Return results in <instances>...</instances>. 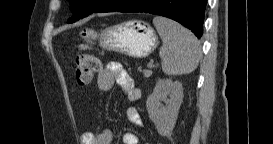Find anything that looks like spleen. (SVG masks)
Returning a JSON list of instances; mask_svg holds the SVG:
<instances>
[{"instance_id": "1", "label": "spleen", "mask_w": 273, "mask_h": 144, "mask_svg": "<svg viewBox=\"0 0 273 144\" xmlns=\"http://www.w3.org/2000/svg\"><path fill=\"white\" fill-rule=\"evenodd\" d=\"M161 39L159 55L166 75L193 72L199 63L200 47L193 33L179 23L161 16L153 19Z\"/></svg>"}]
</instances>
